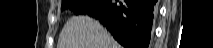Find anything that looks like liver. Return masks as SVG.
<instances>
[{"label": "liver", "instance_id": "1", "mask_svg": "<svg viewBox=\"0 0 213 48\" xmlns=\"http://www.w3.org/2000/svg\"><path fill=\"white\" fill-rule=\"evenodd\" d=\"M57 48H121V46L95 19L74 16L64 25Z\"/></svg>", "mask_w": 213, "mask_h": 48}]
</instances>
